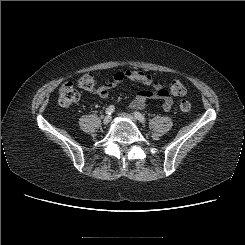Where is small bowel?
I'll return each mask as SVG.
<instances>
[{"label":"small bowel","mask_w":245,"mask_h":245,"mask_svg":"<svg viewBox=\"0 0 245 245\" xmlns=\"http://www.w3.org/2000/svg\"><path fill=\"white\" fill-rule=\"evenodd\" d=\"M129 80L143 86L152 87L151 90L140 91L136 98L129 104L130 109H143L149 99L160 100L163 110L170 111L173 106V98L168 91L158 81L144 71L141 70H126L116 72L112 79L104 82L97 91L101 98H107L109 91L123 81Z\"/></svg>","instance_id":"obj_1"}]
</instances>
